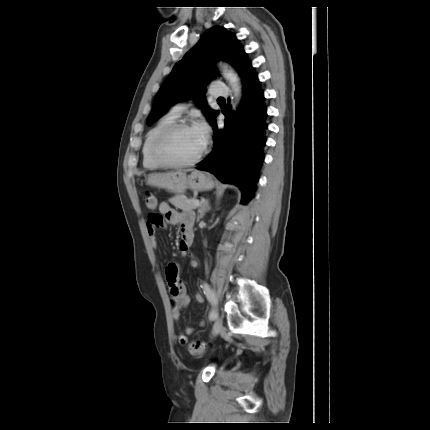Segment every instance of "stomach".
<instances>
[{
	"instance_id": "obj_1",
	"label": "stomach",
	"mask_w": 430,
	"mask_h": 430,
	"mask_svg": "<svg viewBox=\"0 0 430 430\" xmlns=\"http://www.w3.org/2000/svg\"><path fill=\"white\" fill-rule=\"evenodd\" d=\"M146 182L177 194L184 193L186 189L196 192L210 190L215 185L212 178L202 171H193L190 175L183 171L152 173L148 175Z\"/></svg>"
}]
</instances>
